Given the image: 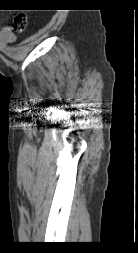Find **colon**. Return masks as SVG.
Listing matches in <instances>:
<instances>
[{"mask_svg": "<svg viewBox=\"0 0 138 253\" xmlns=\"http://www.w3.org/2000/svg\"><path fill=\"white\" fill-rule=\"evenodd\" d=\"M25 25V18L23 15H19L17 16V18L15 19V24H14V28L16 30H21L24 28Z\"/></svg>", "mask_w": 138, "mask_h": 253, "instance_id": "obj_1", "label": "colon"}]
</instances>
